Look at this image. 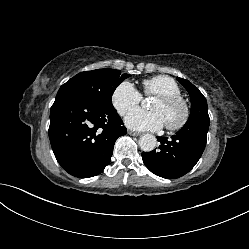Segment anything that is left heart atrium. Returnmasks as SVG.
<instances>
[{"mask_svg":"<svg viewBox=\"0 0 249 249\" xmlns=\"http://www.w3.org/2000/svg\"><path fill=\"white\" fill-rule=\"evenodd\" d=\"M125 124L138 131H156L165 124L163 117L157 111H146L141 108H134L125 118Z\"/></svg>","mask_w":249,"mask_h":249,"instance_id":"left-heart-atrium-1","label":"left heart atrium"}]
</instances>
